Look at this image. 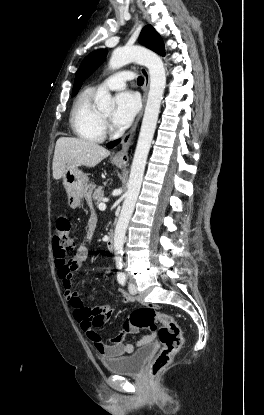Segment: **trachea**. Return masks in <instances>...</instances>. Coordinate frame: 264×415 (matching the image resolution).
<instances>
[{"mask_svg":"<svg viewBox=\"0 0 264 415\" xmlns=\"http://www.w3.org/2000/svg\"><path fill=\"white\" fill-rule=\"evenodd\" d=\"M143 83H144V78L139 76L138 79H137V84L138 85H143Z\"/></svg>","mask_w":264,"mask_h":415,"instance_id":"3493384b","label":"trachea"}]
</instances>
